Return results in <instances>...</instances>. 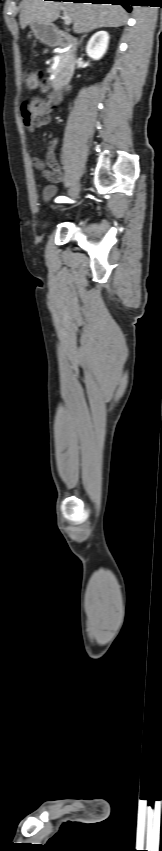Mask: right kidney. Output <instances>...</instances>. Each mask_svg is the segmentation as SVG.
<instances>
[{"instance_id": "ca27d5eb", "label": "right kidney", "mask_w": 162, "mask_h": 851, "mask_svg": "<svg viewBox=\"0 0 162 851\" xmlns=\"http://www.w3.org/2000/svg\"><path fill=\"white\" fill-rule=\"evenodd\" d=\"M109 43V34L106 31L95 33L87 43L86 53L94 59H100L106 52Z\"/></svg>"}]
</instances>
